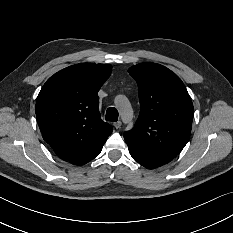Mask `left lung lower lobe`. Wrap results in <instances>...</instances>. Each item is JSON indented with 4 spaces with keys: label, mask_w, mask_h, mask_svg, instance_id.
<instances>
[{
    "label": "left lung lower lobe",
    "mask_w": 233,
    "mask_h": 233,
    "mask_svg": "<svg viewBox=\"0 0 233 233\" xmlns=\"http://www.w3.org/2000/svg\"><path fill=\"white\" fill-rule=\"evenodd\" d=\"M129 147L131 156L141 165L148 169L157 168L164 164L169 163L174 157H169L148 148H145L138 143L125 138Z\"/></svg>",
    "instance_id": "0a47b994"
}]
</instances>
